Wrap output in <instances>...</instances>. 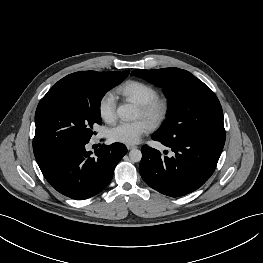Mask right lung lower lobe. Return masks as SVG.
<instances>
[{"mask_svg": "<svg viewBox=\"0 0 263 263\" xmlns=\"http://www.w3.org/2000/svg\"><path fill=\"white\" fill-rule=\"evenodd\" d=\"M89 141L56 147L36 157L46 180L61 194L84 200L101 192L110 183L113 171L126 154L121 143L102 145L91 155Z\"/></svg>", "mask_w": 263, "mask_h": 263, "instance_id": "obj_1", "label": "right lung lower lobe"}]
</instances>
